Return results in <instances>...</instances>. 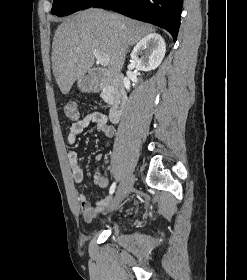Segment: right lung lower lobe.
Segmentation results:
<instances>
[{
    "mask_svg": "<svg viewBox=\"0 0 247 280\" xmlns=\"http://www.w3.org/2000/svg\"><path fill=\"white\" fill-rule=\"evenodd\" d=\"M183 0H100L92 7L107 8L169 31L176 41Z\"/></svg>",
    "mask_w": 247,
    "mask_h": 280,
    "instance_id": "obj_1",
    "label": "right lung lower lobe"
}]
</instances>
